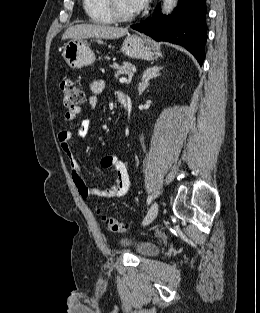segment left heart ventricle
I'll use <instances>...</instances> for the list:
<instances>
[{
    "label": "left heart ventricle",
    "mask_w": 260,
    "mask_h": 313,
    "mask_svg": "<svg viewBox=\"0 0 260 313\" xmlns=\"http://www.w3.org/2000/svg\"><path fill=\"white\" fill-rule=\"evenodd\" d=\"M116 7L123 14L135 12L132 0H116Z\"/></svg>",
    "instance_id": "left-heart-ventricle-1"
}]
</instances>
